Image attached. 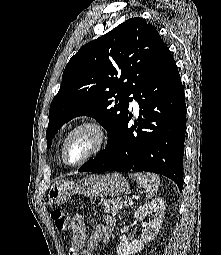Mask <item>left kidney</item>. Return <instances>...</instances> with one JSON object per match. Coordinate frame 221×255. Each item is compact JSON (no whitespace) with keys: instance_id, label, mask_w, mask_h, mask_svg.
Instances as JSON below:
<instances>
[{"instance_id":"1","label":"left kidney","mask_w":221,"mask_h":255,"mask_svg":"<svg viewBox=\"0 0 221 255\" xmlns=\"http://www.w3.org/2000/svg\"><path fill=\"white\" fill-rule=\"evenodd\" d=\"M164 201L162 198H155L150 202L140 206L134 213L133 218L143 220L149 218V222H143L141 238L132 242H120L117 247V255H133L140 252L144 243L150 242L157 236L164 218Z\"/></svg>"}]
</instances>
